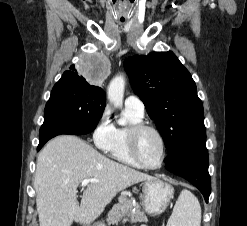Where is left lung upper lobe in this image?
Wrapping results in <instances>:
<instances>
[{
  "label": "left lung upper lobe",
  "instance_id": "1",
  "mask_svg": "<svg viewBox=\"0 0 247 226\" xmlns=\"http://www.w3.org/2000/svg\"><path fill=\"white\" fill-rule=\"evenodd\" d=\"M124 67L169 154L206 138L203 105L195 82L173 52L129 57Z\"/></svg>",
  "mask_w": 247,
  "mask_h": 226
}]
</instances>
